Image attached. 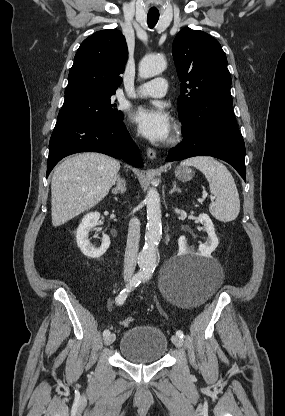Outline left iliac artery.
<instances>
[{"mask_svg":"<svg viewBox=\"0 0 285 416\" xmlns=\"http://www.w3.org/2000/svg\"><path fill=\"white\" fill-rule=\"evenodd\" d=\"M150 278V275H145L144 276V279L145 280H148ZM176 335L177 336H179L180 338H183L184 337V334H183V332L181 331V330H178L177 332H176Z\"/></svg>","mask_w":285,"mask_h":416,"instance_id":"obj_1","label":"left iliac artery"}]
</instances>
